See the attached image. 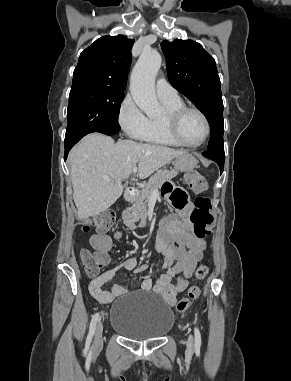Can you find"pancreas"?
I'll return each mask as SVG.
<instances>
[{
  "label": "pancreas",
  "instance_id": "1",
  "mask_svg": "<svg viewBox=\"0 0 291 381\" xmlns=\"http://www.w3.org/2000/svg\"><path fill=\"white\" fill-rule=\"evenodd\" d=\"M177 175V171L167 169L158 170L150 177L148 183L140 190L136 202L123 212V221L129 229H135V223L141 220L140 225L145 224L147 218V202L154 190H158L165 181H169Z\"/></svg>",
  "mask_w": 291,
  "mask_h": 381
}]
</instances>
